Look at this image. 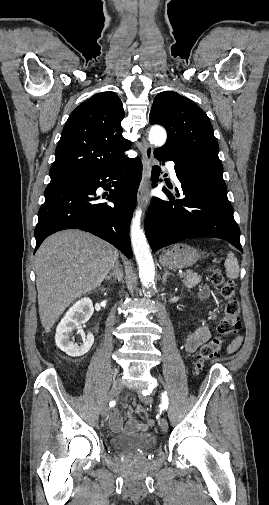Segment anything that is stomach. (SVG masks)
I'll return each mask as SVG.
<instances>
[{
    "label": "stomach",
    "mask_w": 269,
    "mask_h": 505,
    "mask_svg": "<svg viewBox=\"0 0 269 505\" xmlns=\"http://www.w3.org/2000/svg\"><path fill=\"white\" fill-rule=\"evenodd\" d=\"M201 253L186 244L179 243L165 250L159 258L162 266L167 268H186L194 265Z\"/></svg>",
    "instance_id": "obj_1"
}]
</instances>
